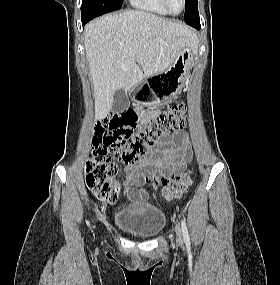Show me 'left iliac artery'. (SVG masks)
Listing matches in <instances>:
<instances>
[{
  "label": "left iliac artery",
  "instance_id": "44dca946",
  "mask_svg": "<svg viewBox=\"0 0 280 285\" xmlns=\"http://www.w3.org/2000/svg\"><path fill=\"white\" fill-rule=\"evenodd\" d=\"M181 227H182L184 242H185L187 248H190L189 233H188L187 226H186V223L184 220H181Z\"/></svg>",
  "mask_w": 280,
  "mask_h": 285
}]
</instances>
